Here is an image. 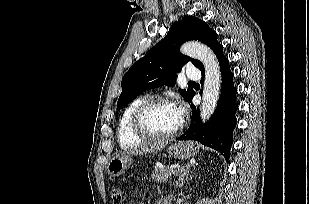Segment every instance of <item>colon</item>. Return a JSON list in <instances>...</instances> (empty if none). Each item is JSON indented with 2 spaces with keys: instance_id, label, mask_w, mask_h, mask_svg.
<instances>
[{
  "instance_id": "5ec220e1",
  "label": "colon",
  "mask_w": 309,
  "mask_h": 204,
  "mask_svg": "<svg viewBox=\"0 0 309 204\" xmlns=\"http://www.w3.org/2000/svg\"><path fill=\"white\" fill-rule=\"evenodd\" d=\"M110 195L113 204H123L125 198V191L121 187H112L110 189Z\"/></svg>"
}]
</instances>
